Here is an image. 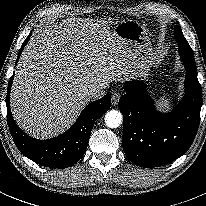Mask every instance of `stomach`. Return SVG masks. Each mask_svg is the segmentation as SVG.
Here are the masks:
<instances>
[{"label":"stomach","mask_w":206,"mask_h":206,"mask_svg":"<svg viewBox=\"0 0 206 206\" xmlns=\"http://www.w3.org/2000/svg\"><path fill=\"white\" fill-rule=\"evenodd\" d=\"M113 32L128 44L140 66L141 73L146 75L155 60L146 28L134 20H124L115 25Z\"/></svg>","instance_id":"obj_1"}]
</instances>
